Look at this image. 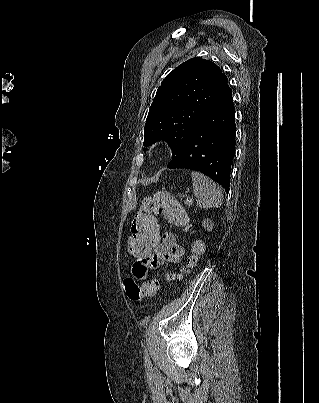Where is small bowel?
<instances>
[{
	"mask_svg": "<svg viewBox=\"0 0 319 403\" xmlns=\"http://www.w3.org/2000/svg\"><path fill=\"white\" fill-rule=\"evenodd\" d=\"M167 234H170L169 237ZM151 253V258L147 259V255H143L137 259V265H129L128 280L130 283L140 282L149 274V270L157 269L165 262L179 266L185 257L184 248L177 243L175 236L171 232H165L162 235L159 246L154 247ZM177 278L180 279L181 275L177 276Z\"/></svg>",
	"mask_w": 319,
	"mask_h": 403,
	"instance_id": "small-bowel-1",
	"label": "small bowel"
}]
</instances>
